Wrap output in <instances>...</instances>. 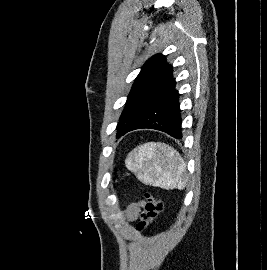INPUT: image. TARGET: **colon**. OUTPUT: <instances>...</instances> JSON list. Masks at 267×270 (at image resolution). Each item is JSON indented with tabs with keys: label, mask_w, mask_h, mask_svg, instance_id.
Returning <instances> with one entry per match:
<instances>
[{
	"label": "colon",
	"mask_w": 267,
	"mask_h": 270,
	"mask_svg": "<svg viewBox=\"0 0 267 270\" xmlns=\"http://www.w3.org/2000/svg\"><path fill=\"white\" fill-rule=\"evenodd\" d=\"M145 197V203L138 216L137 229L139 231L146 230L163 210V202L159 197L150 192H147Z\"/></svg>",
	"instance_id": "5ec220e1"
}]
</instances>
